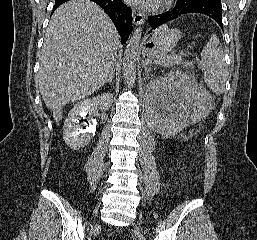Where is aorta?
Listing matches in <instances>:
<instances>
[{
    "instance_id": "obj_1",
    "label": "aorta",
    "mask_w": 257,
    "mask_h": 240,
    "mask_svg": "<svg viewBox=\"0 0 257 240\" xmlns=\"http://www.w3.org/2000/svg\"><path fill=\"white\" fill-rule=\"evenodd\" d=\"M141 35L142 27L139 26L133 32L124 52L123 73L124 79L129 86H132L136 80V66Z\"/></svg>"
}]
</instances>
